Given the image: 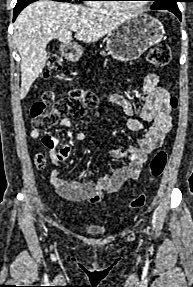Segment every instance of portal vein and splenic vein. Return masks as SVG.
Listing matches in <instances>:
<instances>
[{"label":"portal vein and splenic vein","mask_w":193,"mask_h":287,"mask_svg":"<svg viewBox=\"0 0 193 287\" xmlns=\"http://www.w3.org/2000/svg\"><path fill=\"white\" fill-rule=\"evenodd\" d=\"M78 29H79L78 26H75V27L72 28L73 31H77Z\"/></svg>","instance_id":"18ae733b"}]
</instances>
